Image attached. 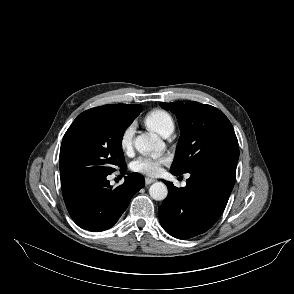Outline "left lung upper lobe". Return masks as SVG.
I'll use <instances>...</instances> for the list:
<instances>
[{
    "mask_svg": "<svg viewBox=\"0 0 294 294\" xmlns=\"http://www.w3.org/2000/svg\"><path fill=\"white\" fill-rule=\"evenodd\" d=\"M160 106L176 114L181 131L171 173H191L212 157L238 148L232 124L217 108L198 102L160 103Z\"/></svg>",
    "mask_w": 294,
    "mask_h": 294,
    "instance_id": "1",
    "label": "left lung upper lobe"
}]
</instances>
